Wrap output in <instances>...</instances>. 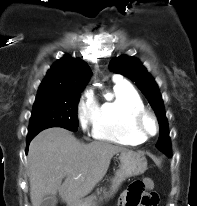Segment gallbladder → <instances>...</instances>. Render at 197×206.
Wrapping results in <instances>:
<instances>
[{
    "instance_id": "obj_1",
    "label": "gallbladder",
    "mask_w": 197,
    "mask_h": 206,
    "mask_svg": "<svg viewBox=\"0 0 197 206\" xmlns=\"http://www.w3.org/2000/svg\"><path fill=\"white\" fill-rule=\"evenodd\" d=\"M57 198L52 195H48L44 197L41 206H56Z\"/></svg>"
}]
</instances>
